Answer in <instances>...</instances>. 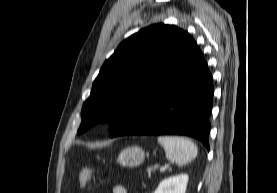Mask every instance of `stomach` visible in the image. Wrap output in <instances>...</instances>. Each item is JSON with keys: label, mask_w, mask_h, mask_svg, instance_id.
<instances>
[{"label": "stomach", "mask_w": 277, "mask_h": 193, "mask_svg": "<svg viewBox=\"0 0 277 193\" xmlns=\"http://www.w3.org/2000/svg\"><path fill=\"white\" fill-rule=\"evenodd\" d=\"M145 158V153L138 146H131L123 149L119 156L118 162L123 167H135L140 165Z\"/></svg>", "instance_id": "stomach-1"}]
</instances>
